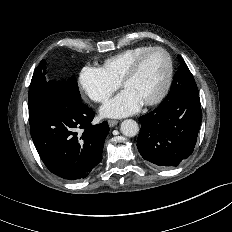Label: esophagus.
I'll return each mask as SVG.
<instances>
[{"label": "esophagus", "mask_w": 232, "mask_h": 232, "mask_svg": "<svg viewBox=\"0 0 232 232\" xmlns=\"http://www.w3.org/2000/svg\"><path fill=\"white\" fill-rule=\"evenodd\" d=\"M108 124L110 127H114L115 125L118 124V121L117 120H108Z\"/></svg>", "instance_id": "34e87169"}]
</instances>
